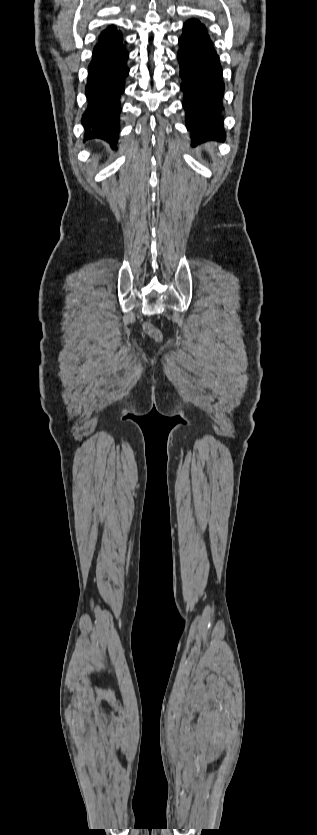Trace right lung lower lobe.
Returning a JSON list of instances; mask_svg holds the SVG:
<instances>
[{"label": "right lung lower lobe", "mask_w": 317, "mask_h": 835, "mask_svg": "<svg viewBox=\"0 0 317 835\" xmlns=\"http://www.w3.org/2000/svg\"><path fill=\"white\" fill-rule=\"evenodd\" d=\"M128 52L122 37L109 39L100 35L88 66L86 96L88 109L82 116L84 141L99 138L114 147L118 140L120 98L125 89L129 68Z\"/></svg>", "instance_id": "obj_1"}]
</instances>
